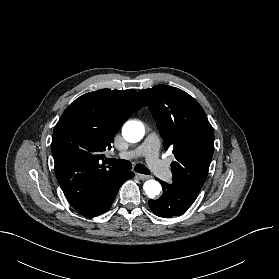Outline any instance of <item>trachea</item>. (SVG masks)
<instances>
[{
  "label": "trachea",
  "mask_w": 279,
  "mask_h": 279,
  "mask_svg": "<svg viewBox=\"0 0 279 279\" xmlns=\"http://www.w3.org/2000/svg\"><path fill=\"white\" fill-rule=\"evenodd\" d=\"M106 163L122 170H130L132 168L131 162L121 159H106ZM135 171L145 175L150 174V171L142 164H137L135 166Z\"/></svg>",
  "instance_id": "3493384b"
}]
</instances>
